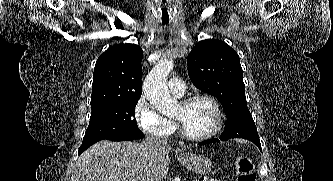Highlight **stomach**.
Listing matches in <instances>:
<instances>
[{
    "mask_svg": "<svg viewBox=\"0 0 333 181\" xmlns=\"http://www.w3.org/2000/svg\"><path fill=\"white\" fill-rule=\"evenodd\" d=\"M180 163L196 174H207L212 168V162L209 158L201 154L185 152L179 155Z\"/></svg>",
    "mask_w": 333,
    "mask_h": 181,
    "instance_id": "0dacf381",
    "label": "stomach"
}]
</instances>
